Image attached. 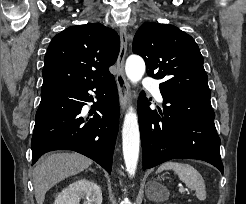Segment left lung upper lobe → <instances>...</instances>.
<instances>
[{"label": "left lung upper lobe", "instance_id": "5c2ea615", "mask_svg": "<svg viewBox=\"0 0 246 204\" xmlns=\"http://www.w3.org/2000/svg\"><path fill=\"white\" fill-rule=\"evenodd\" d=\"M133 52L145 60L149 76L163 81L160 90L210 93L199 47L179 28L142 24L133 40Z\"/></svg>", "mask_w": 246, "mask_h": 204}]
</instances>
